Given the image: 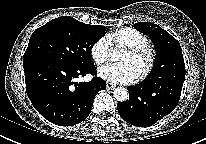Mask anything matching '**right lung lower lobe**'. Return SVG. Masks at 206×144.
Here are the masks:
<instances>
[{
  "label": "right lung lower lobe",
  "mask_w": 206,
  "mask_h": 144,
  "mask_svg": "<svg viewBox=\"0 0 206 144\" xmlns=\"http://www.w3.org/2000/svg\"><path fill=\"white\" fill-rule=\"evenodd\" d=\"M23 67L31 103L45 119L59 126L76 125L86 119L97 92L106 89V82L99 77L89 82H74L86 74L96 75L94 63L73 67L30 58L23 60Z\"/></svg>",
  "instance_id": "obj_1"
}]
</instances>
